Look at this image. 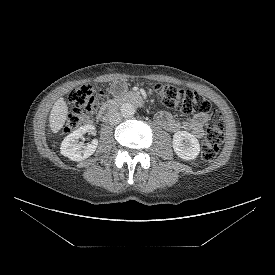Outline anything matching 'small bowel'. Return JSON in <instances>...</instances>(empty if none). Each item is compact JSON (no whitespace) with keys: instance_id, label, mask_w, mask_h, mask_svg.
<instances>
[{"instance_id":"c3829d8e","label":"small bowel","mask_w":275,"mask_h":275,"mask_svg":"<svg viewBox=\"0 0 275 275\" xmlns=\"http://www.w3.org/2000/svg\"><path fill=\"white\" fill-rule=\"evenodd\" d=\"M125 89L126 84L123 81H116L110 88L113 94H119L123 92ZM208 120L209 115L206 113L195 115L194 117L184 122L176 120L170 113L166 111H160L156 115L157 123L167 131L177 132L183 129L186 131L193 132V134L198 138H201L203 136L204 127Z\"/></svg>"}]
</instances>
